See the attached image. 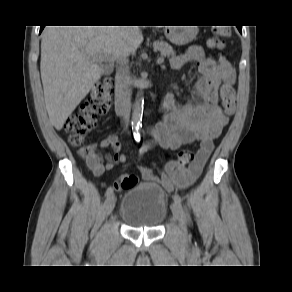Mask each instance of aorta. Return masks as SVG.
<instances>
[{"instance_id": "aorta-1", "label": "aorta", "mask_w": 292, "mask_h": 292, "mask_svg": "<svg viewBox=\"0 0 292 292\" xmlns=\"http://www.w3.org/2000/svg\"><path fill=\"white\" fill-rule=\"evenodd\" d=\"M142 86H140V91L137 94L135 103H134V108H133V113H132V122L134 127H137L140 125V122L142 120V113H143V92H142Z\"/></svg>"}]
</instances>
